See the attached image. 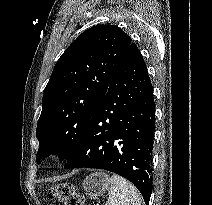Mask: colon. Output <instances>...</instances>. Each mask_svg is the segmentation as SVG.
Instances as JSON below:
<instances>
[{
  "label": "colon",
  "mask_w": 212,
  "mask_h": 205,
  "mask_svg": "<svg viewBox=\"0 0 212 205\" xmlns=\"http://www.w3.org/2000/svg\"><path fill=\"white\" fill-rule=\"evenodd\" d=\"M49 197L63 205H84L82 196L77 193L70 183H60L52 187Z\"/></svg>",
  "instance_id": "colon-1"
}]
</instances>
